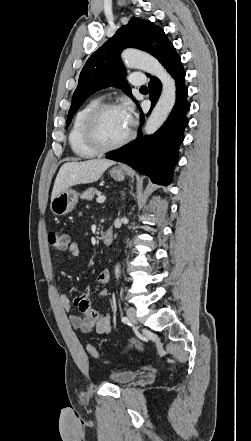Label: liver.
I'll use <instances>...</instances> for the list:
<instances>
[{"instance_id":"6515ba94","label":"liver","mask_w":251,"mask_h":441,"mask_svg":"<svg viewBox=\"0 0 251 441\" xmlns=\"http://www.w3.org/2000/svg\"><path fill=\"white\" fill-rule=\"evenodd\" d=\"M114 164V161L106 159L73 161L63 164L56 176L51 200L72 186L97 181L107 168Z\"/></svg>"}]
</instances>
